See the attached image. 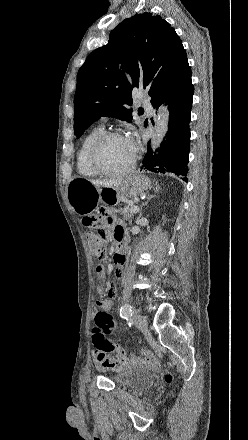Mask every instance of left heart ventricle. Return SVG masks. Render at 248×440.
Instances as JSON below:
<instances>
[{
    "label": "left heart ventricle",
    "mask_w": 248,
    "mask_h": 440,
    "mask_svg": "<svg viewBox=\"0 0 248 440\" xmlns=\"http://www.w3.org/2000/svg\"><path fill=\"white\" fill-rule=\"evenodd\" d=\"M133 154L126 138L115 137L104 143L98 154V162L105 170L119 171L130 164Z\"/></svg>",
    "instance_id": "obj_1"
}]
</instances>
